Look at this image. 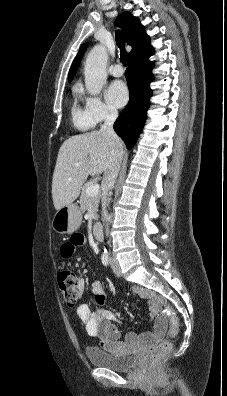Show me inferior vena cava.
I'll return each instance as SVG.
<instances>
[{
	"label": "inferior vena cava",
	"instance_id": "602c4592",
	"mask_svg": "<svg viewBox=\"0 0 227 396\" xmlns=\"http://www.w3.org/2000/svg\"><path fill=\"white\" fill-rule=\"evenodd\" d=\"M117 117H118L117 110L109 109L105 118V122L100 129L101 132L106 133L113 141L111 156L104 171L103 181H102L104 186L102 193V211H103L104 221L106 222V235H108L109 233L108 222L110 219L108 212L106 210V207L108 206L109 203L108 192L114 187L120 169V164L122 161V154L118 151L115 143L118 140V136L116 135L113 129V124L117 119Z\"/></svg>",
	"mask_w": 227,
	"mask_h": 396
}]
</instances>
